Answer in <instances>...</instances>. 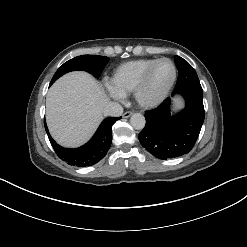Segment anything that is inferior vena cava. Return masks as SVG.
Instances as JSON below:
<instances>
[{"instance_id":"inferior-vena-cava-1","label":"inferior vena cava","mask_w":247,"mask_h":247,"mask_svg":"<svg viewBox=\"0 0 247 247\" xmlns=\"http://www.w3.org/2000/svg\"><path fill=\"white\" fill-rule=\"evenodd\" d=\"M123 113V108L120 104L115 102H109L105 105L103 109V114L105 116H120Z\"/></svg>"}]
</instances>
